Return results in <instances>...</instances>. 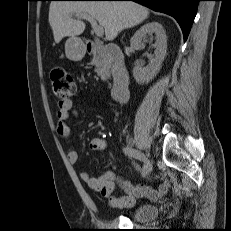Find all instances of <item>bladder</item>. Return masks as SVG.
I'll list each match as a JSON object with an SVG mask.
<instances>
[{
  "label": "bladder",
  "mask_w": 231,
  "mask_h": 231,
  "mask_svg": "<svg viewBox=\"0 0 231 231\" xmlns=\"http://www.w3.org/2000/svg\"><path fill=\"white\" fill-rule=\"evenodd\" d=\"M160 208L155 205H139L135 207L131 213V220L135 222H146L153 220L158 216Z\"/></svg>",
  "instance_id": "bladder-1"
}]
</instances>
